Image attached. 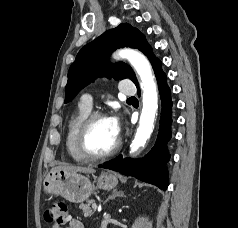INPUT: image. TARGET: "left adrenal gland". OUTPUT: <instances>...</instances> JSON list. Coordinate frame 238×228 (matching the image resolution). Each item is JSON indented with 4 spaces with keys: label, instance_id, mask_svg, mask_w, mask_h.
I'll list each match as a JSON object with an SVG mask.
<instances>
[{
    "label": "left adrenal gland",
    "instance_id": "obj_1",
    "mask_svg": "<svg viewBox=\"0 0 238 228\" xmlns=\"http://www.w3.org/2000/svg\"><path fill=\"white\" fill-rule=\"evenodd\" d=\"M116 197H125L124 192L114 190L112 195L109 196L104 203L108 202L111 199H115Z\"/></svg>",
    "mask_w": 238,
    "mask_h": 228
}]
</instances>
